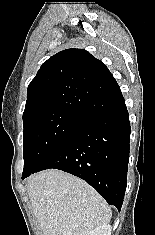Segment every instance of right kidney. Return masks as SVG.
I'll list each match as a JSON object with an SVG mask.
<instances>
[{
    "label": "right kidney",
    "mask_w": 155,
    "mask_h": 235,
    "mask_svg": "<svg viewBox=\"0 0 155 235\" xmlns=\"http://www.w3.org/2000/svg\"><path fill=\"white\" fill-rule=\"evenodd\" d=\"M89 235H111V226L109 224L99 226L95 230L91 231Z\"/></svg>",
    "instance_id": "right-kidney-1"
}]
</instances>
